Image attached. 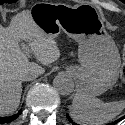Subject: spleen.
I'll list each match as a JSON object with an SVG mask.
<instances>
[{"instance_id":"spleen-1","label":"spleen","mask_w":125,"mask_h":125,"mask_svg":"<svg viewBox=\"0 0 125 125\" xmlns=\"http://www.w3.org/2000/svg\"><path fill=\"white\" fill-rule=\"evenodd\" d=\"M125 108V101L103 102L83 92L73 98L70 114L81 125H103L113 120Z\"/></svg>"}]
</instances>
